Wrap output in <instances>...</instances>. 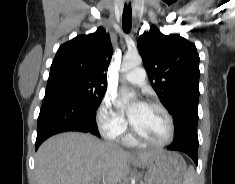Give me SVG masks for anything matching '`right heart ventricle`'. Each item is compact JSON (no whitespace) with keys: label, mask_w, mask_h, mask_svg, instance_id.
<instances>
[{"label":"right heart ventricle","mask_w":235,"mask_h":184,"mask_svg":"<svg viewBox=\"0 0 235 184\" xmlns=\"http://www.w3.org/2000/svg\"><path fill=\"white\" fill-rule=\"evenodd\" d=\"M123 143L128 145H135L136 141L132 138L130 134H127L123 137Z\"/></svg>","instance_id":"obj_1"}]
</instances>
